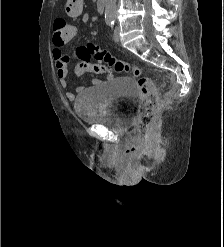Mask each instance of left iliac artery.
<instances>
[{"label":"left iliac artery","instance_id":"obj_1","mask_svg":"<svg viewBox=\"0 0 224 247\" xmlns=\"http://www.w3.org/2000/svg\"><path fill=\"white\" fill-rule=\"evenodd\" d=\"M113 26H114V20H113V23H112L111 27H113Z\"/></svg>","mask_w":224,"mask_h":247}]
</instances>
